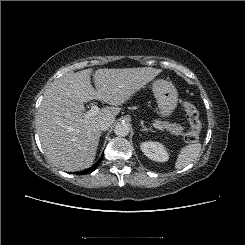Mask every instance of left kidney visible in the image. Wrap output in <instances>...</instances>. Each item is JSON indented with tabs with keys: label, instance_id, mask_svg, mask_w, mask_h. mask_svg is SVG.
<instances>
[{
	"label": "left kidney",
	"instance_id": "left-kidney-1",
	"mask_svg": "<svg viewBox=\"0 0 245 245\" xmlns=\"http://www.w3.org/2000/svg\"><path fill=\"white\" fill-rule=\"evenodd\" d=\"M140 148L145 156L157 162H166L169 154L165 147L159 142L145 141L142 142Z\"/></svg>",
	"mask_w": 245,
	"mask_h": 245
}]
</instances>
